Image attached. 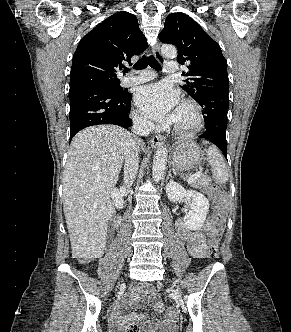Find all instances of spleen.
<instances>
[{
    "instance_id": "spleen-1",
    "label": "spleen",
    "mask_w": 291,
    "mask_h": 332,
    "mask_svg": "<svg viewBox=\"0 0 291 332\" xmlns=\"http://www.w3.org/2000/svg\"><path fill=\"white\" fill-rule=\"evenodd\" d=\"M207 161L211 165L213 179L217 184H224L228 181V171L224 158L215 146L207 149Z\"/></svg>"
}]
</instances>
